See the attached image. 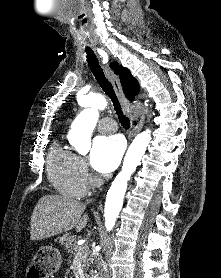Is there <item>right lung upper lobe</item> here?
Listing matches in <instances>:
<instances>
[{"label": "right lung upper lobe", "instance_id": "1", "mask_svg": "<svg viewBox=\"0 0 221 278\" xmlns=\"http://www.w3.org/2000/svg\"><path fill=\"white\" fill-rule=\"evenodd\" d=\"M120 81L124 88L126 97L133 100L138 94L140 87L137 80L131 75L130 71L122 66H119Z\"/></svg>", "mask_w": 221, "mask_h": 278}]
</instances>
